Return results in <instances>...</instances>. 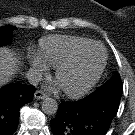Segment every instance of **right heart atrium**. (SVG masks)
Returning a JSON list of instances; mask_svg holds the SVG:
<instances>
[{
    "instance_id": "obj_1",
    "label": "right heart atrium",
    "mask_w": 135,
    "mask_h": 135,
    "mask_svg": "<svg viewBox=\"0 0 135 135\" xmlns=\"http://www.w3.org/2000/svg\"><path fill=\"white\" fill-rule=\"evenodd\" d=\"M32 65L38 69L45 70V65L39 55H34L30 59Z\"/></svg>"
}]
</instances>
